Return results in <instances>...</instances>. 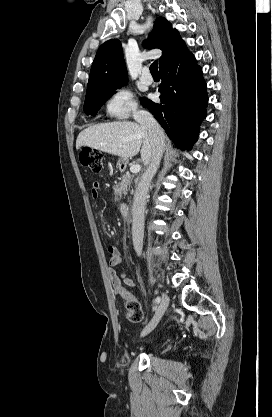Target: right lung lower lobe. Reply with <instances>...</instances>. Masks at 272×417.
Here are the masks:
<instances>
[{
    "instance_id": "right-lung-lower-lobe-1",
    "label": "right lung lower lobe",
    "mask_w": 272,
    "mask_h": 417,
    "mask_svg": "<svg viewBox=\"0 0 272 417\" xmlns=\"http://www.w3.org/2000/svg\"><path fill=\"white\" fill-rule=\"evenodd\" d=\"M160 103L144 98L141 102L181 148L196 142L201 121L206 117L208 96L202 69L186 45L160 67Z\"/></svg>"
}]
</instances>
